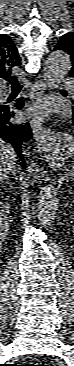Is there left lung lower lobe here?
<instances>
[{
	"label": "left lung lower lobe",
	"mask_w": 74,
	"mask_h": 366,
	"mask_svg": "<svg viewBox=\"0 0 74 366\" xmlns=\"http://www.w3.org/2000/svg\"><path fill=\"white\" fill-rule=\"evenodd\" d=\"M63 95L66 96V94H63ZM72 104H73V106H72V112H73L72 122L74 124V99L72 100Z\"/></svg>",
	"instance_id": "0a47b994"
}]
</instances>
